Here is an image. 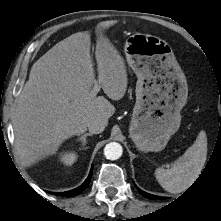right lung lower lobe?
I'll return each instance as SVG.
<instances>
[{
  "label": "right lung lower lobe",
  "instance_id": "1",
  "mask_svg": "<svg viewBox=\"0 0 221 221\" xmlns=\"http://www.w3.org/2000/svg\"><path fill=\"white\" fill-rule=\"evenodd\" d=\"M91 175H92V169L90 171L88 178L78 188L71 190V191H66V192H61V193H53V194L64 196V197H74V196L78 195L79 193H81L88 186L90 179H91Z\"/></svg>",
  "mask_w": 221,
  "mask_h": 221
}]
</instances>
